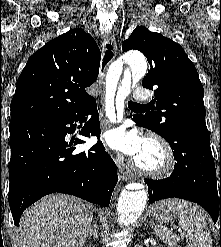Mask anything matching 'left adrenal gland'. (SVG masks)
<instances>
[{"instance_id": "left-adrenal-gland-1", "label": "left adrenal gland", "mask_w": 221, "mask_h": 247, "mask_svg": "<svg viewBox=\"0 0 221 247\" xmlns=\"http://www.w3.org/2000/svg\"><path fill=\"white\" fill-rule=\"evenodd\" d=\"M147 224H149V226H151L153 228V222L152 221L147 222Z\"/></svg>"}]
</instances>
